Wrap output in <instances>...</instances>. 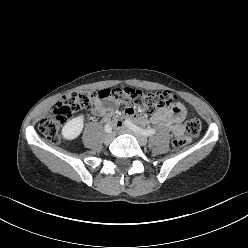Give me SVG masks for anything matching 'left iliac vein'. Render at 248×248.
Wrapping results in <instances>:
<instances>
[{"label":"left iliac vein","mask_w":248,"mask_h":248,"mask_svg":"<svg viewBox=\"0 0 248 248\" xmlns=\"http://www.w3.org/2000/svg\"><path fill=\"white\" fill-rule=\"evenodd\" d=\"M121 133L131 134V135L135 136L136 139L138 140L139 144L142 145V146H146V144H147V138L145 136L133 131L130 128L122 127Z\"/></svg>","instance_id":"obj_1"}]
</instances>
